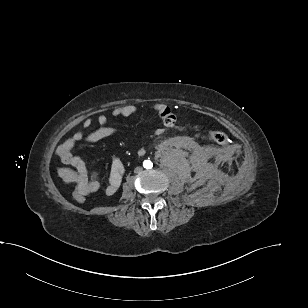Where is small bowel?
<instances>
[{"instance_id":"1","label":"small bowel","mask_w":308,"mask_h":308,"mask_svg":"<svg viewBox=\"0 0 308 308\" xmlns=\"http://www.w3.org/2000/svg\"><path fill=\"white\" fill-rule=\"evenodd\" d=\"M151 110L158 112L160 115L165 110H170L162 104H154ZM138 112V108L134 105H125L117 107L112 111L114 117H130ZM108 117L101 114L97 117V124L99 127L85 134L83 131L76 132L71 138L65 140L57 147V155L60 160L73 168L71 171V178L77 184V188L85 191L87 194L97 192L101 189V184L98 180L97 174L89 172L84 160L72 153L75 145L82 141L96 143L106 138L112 137L116 134V130L107 125ZM165 123V122H164ZM93 124L91 119H86L83 122V129H89ZM168 125L167 123H165ZM162 131L159 130L155 135H159ZM124 174V165L119 159H114L110 169V175L104 191L107 195H113L119 188Z\"/></svg>"}]
</instances>
